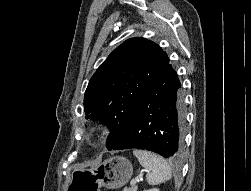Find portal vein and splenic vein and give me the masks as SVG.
Here are the masks:
<instances>
[{
    "label": "portal vein and splenic vein",
    "mask_w": 251,
    "mask_h": 191,
    "mask_svg": "<svg viewBox=\"0 0 251 191\" xmlns=\"http://www.w3.org/2000/svg\"><path fill=\"white\" fill-rule=\"evenodd\" d=\"M136 181H141V179H131V185H135Z\"/></svg>",
    "instance_id": "18ae733b"
}]
</instances>
